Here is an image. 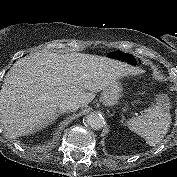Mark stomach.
I'll return each mask as SVG.
<instances>
[{
    "label": "stomach",
    "mask_w": 177,
    "mask_h": 177,
    "mask_svg": "<svg viewBox=\"0 0 177 177\" xmlns=\"http://www.w3.org/2000/svg\"><path fill=\"white\" fill-rule=\"evenodd\" d=\"M109 56L113 59L126 62L133 67H136L141 62V58L130 51L115 50L112 51ZM121 90V84L119 82H115L105 88L101 94L102 103L106 106L116 105L121 97Z\"/></svg>",
    "instance_id": "0dacf381"
}]
</instances>
